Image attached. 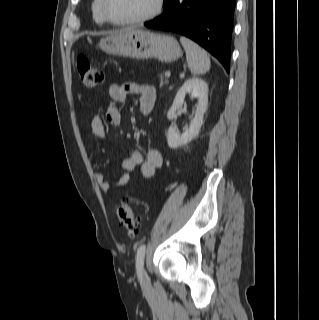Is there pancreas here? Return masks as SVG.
<instances>
[{"label":"pancreas","mask_w":319,"mask_h":320,"mask_svg":"<svg viewBox=\"0 0 319 320\" xmlns=\"http://www.w3.org/2000/svg\"><path fill=\"white\" fill-rule=\"evenodd\" d=\"M160 78V86H163L164 84H166L168 82V79L166 76H164L162 73L159 76Z\"/></svg>","instance_id":"cf45deb5"}]
</instances>
